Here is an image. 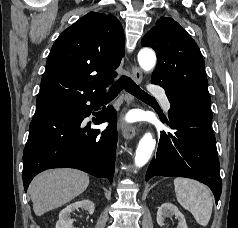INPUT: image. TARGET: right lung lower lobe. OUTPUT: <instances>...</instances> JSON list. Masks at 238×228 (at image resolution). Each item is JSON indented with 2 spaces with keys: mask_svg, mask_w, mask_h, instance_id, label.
I'll return each mask as SVG.
<instances>
[{
  "mask_svg": "<svg viewBox=\"0 0 238 228\" xmlns=\"http://www.w3.org/2000/svg\"><path fill=\"white\" fill-rule=\"evenodd\" d=\"M105 93L76 98L59 106L36 110L23 152V183L27 188L38 173L71 167L96 177L113 180L117 143L116 111L108 106L97 115L95 124L110 122L105 130L90 129L84 119L91 105H101Z\"/></svg>",
  "mask_w": 238,
  "mask_h": 228,
  "instance_id": "obj_1",
  "label": "right lung lower lobe"
}]
</instances>
